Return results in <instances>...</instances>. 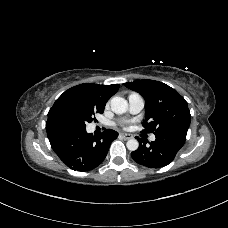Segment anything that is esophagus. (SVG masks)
<instances>
[{"mask_svg":"<svg viewBox=\"0 0 228 228\" xmlns=\"http://www.w3.org/2000/svg\"><path fill=\"white\" fill-rule=\"evenodd\" d=\"M120 137H121L122 139H124V140H129V139L132 138L131 135L126 134V133H121V134H120Z\"/></svg>","mask_w":228,"mask_h":228,"instance_id":"1","label":"esophagus"}]
</instances>
